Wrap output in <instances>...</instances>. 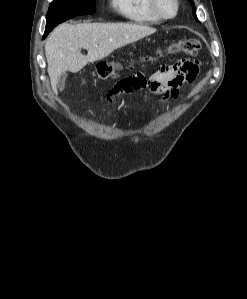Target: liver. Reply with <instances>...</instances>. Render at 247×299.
<instances>
[{
    "label": "liver",
    "mask_w": 247,
    "mask_h": 299,
    "mask_svg": "<svg viewBox=\"0 0 247 299\" xmlns=\"http://www.w3.org/2000/svg\"><path fill=\"white\" fill-rule=\"evenodd\" d=\"M156 32L155 28L132 23H64L56 27L45 43L51 87L56 93L58 77L77 73L88 62L101 60L116 49ZM87 50L85 56L81 49Z\"/></svg>",
    "instance_id": "1"
}]
</instances>
